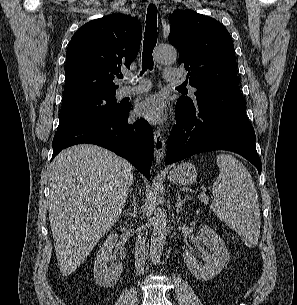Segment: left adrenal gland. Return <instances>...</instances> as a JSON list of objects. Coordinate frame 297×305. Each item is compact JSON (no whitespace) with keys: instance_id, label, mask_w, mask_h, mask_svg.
<instances>
[{"instance_id":"left-adrenal-gland-1","label":"left adrenal gland","mask_w":297,"mask_h":305,"mask_svg":"<svg viewBox=\"0 0 297 305\" xmlns=\"http://www.w3.org/2000/svg\"><path fill=\"white\" fill-rule=\"evenodd\" d=\"M187 200H188L187 197L181 199L180 194H178L177 200H176V203H175V211H176L177 214L182 210V206L185 204V202Z\"/></svg>"}]
</instances>
